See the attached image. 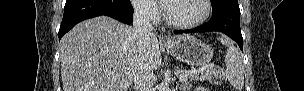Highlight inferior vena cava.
Here are the masks:
<instances>
[{"label":"inferior vena cava","mask_w":304,"mask_h":91,"mask_svg":"<svg viewBox=\"0 0 304 91\" xmlns=\"http://www.w3.org/2000/svg\"><path fill=\"white\" fill-rule=\"evenodd\" d=\"M133 31L137 41V51L145 49L146 40L154 36L150 22L149 8L142 5L134 6ZM135 91H151L153 85V69L146 63L138 62L133 75Z\"/></svg>","instance_id":"obj_1"}]
</instances>
